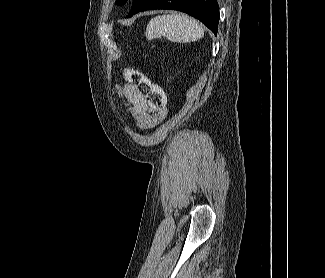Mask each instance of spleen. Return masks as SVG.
<instances>
[{
    "instance_id": "spleen-1",
    "label": "spleen",
    "mask_w": 325,
    "mask_h": 278,
    "mask_svg": "<svg viewBox=\"0 0 325 278\" xmlns=\"http://www.w3.org/2000/svg\"><path fill=\"white\" fill-rule=\"evenodd\" d=\"M146 38L166 36L172 42H193L203 37V27L187 15L171 14L152 18L146 28Z\"/></svg>"
}]
</instances>
